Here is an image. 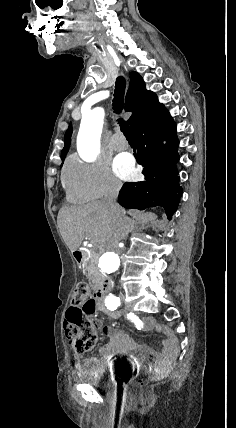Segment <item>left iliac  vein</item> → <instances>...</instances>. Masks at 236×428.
Listing matches in <instances>:
<instances>
[{
    "mask_svg": "<svg viewBox=\"0 0 236 428\" xmlns=\"http://www.w3.org/2000/svg\"><path fill=\"white\" fill-rule=\"evenodd\" d=\"M119 296H120V297H119V298H120V300L122 301V300L124 299V293H123V292H120V293H119Z\"/></svg>",
    "mask_w": 236,
    "mask_h": 428,
    "instance_id": "1",
    "label": "left iliac vein"
}]
</instances>
